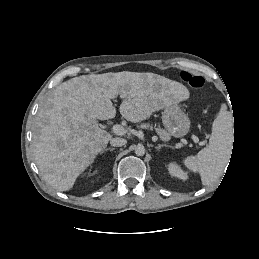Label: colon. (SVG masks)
I'll list each match as a JSON object with an SVG mask.
<instances>
[{
    "instance_id": "obj_1",
    "label": "colon",
    "mask_w": 259,
    "mask_h": 259,
    "mask_svg": "<svg viewBox=\"0 0 259 259\" xmlns=\"http://www.w3.org/2000/svg\"><path fill=\"white\" fill-rule=\"evenodd\" d=\"M180 78L191 88L201 90L204 86V79L201 76L193 75L190 72L182 71Z\"/></svg>"
}]
</instances>
